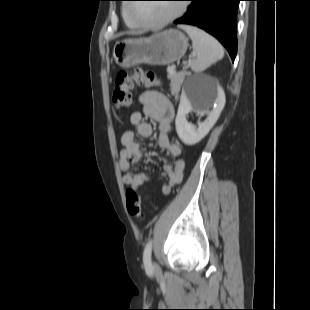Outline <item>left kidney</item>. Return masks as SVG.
Listing matches in <instances>:
<instances>
[{"instance_id": "obj_1", "label": "left kidney", "mask_w": 310, "mask_h": 310, "mask_svg": "<svg viewBox=\"0 0 310 310\" xmlns=\"http://www.w3.org/2000/svg\"><path fill=\"white\" fill-rule=\"evenodd\" d=\"M209 83L200 82L193 90L183 91L180 104L178 107L177 116L175 119L176 132L183 143L186 145H194L200 142L211 130L216 121L218 120L221 111L225 105V94L223 90L217 87L216 107L211 111L203 107L199 103H193L195 95L203 97L208 89ZM191 111H196L198 115L203 116L207 114L204 122L198 124V128L189 124L186 116Z\"/></svg>"}]
</instances>
